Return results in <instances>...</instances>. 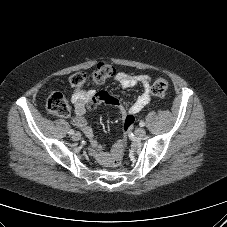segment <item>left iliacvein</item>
Listing matches in <instances>:
<instances>
[{"instance_id": "4c4485c4", "label": "left iliac vein", "mask_w": 227, "mask_h": 227, "mask_svg": "<svg viewBox=\"0 0 227 227\" xmlns=\"http://www.w3.org/2000/svg\"><path fill=\"white\" fill-rule=\"evenodd\" d=\"M145 134H146V131L143 128H138L135 130V135L137 137H143L145 136Z\"/></svg>"}]
</instances>
